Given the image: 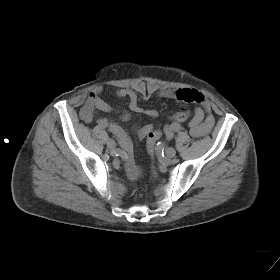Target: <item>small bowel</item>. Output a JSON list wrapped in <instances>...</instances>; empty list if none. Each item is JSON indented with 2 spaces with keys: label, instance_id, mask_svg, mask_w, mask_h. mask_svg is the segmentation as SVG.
<instances>
[{
  "label": "small bowel",
  "instance_id": "obj_1",
  "mask_svg": "<svg viewBox=\"0 0 280 280\" xmlns=\"http://www.w3.org/2000/svg\"><path fill=\"white\" fill-rule=\"evenodd\" d=\"M101 93V87H97L90 92L85 104L80 110V115L84 121H93L98 111L111 112L114 110L110 104L101 98ZM115 94L120 98H128L129 109L131 111L144 114L148 117L157 116L156 110L144 109L139 105L138 97L134 90L129 88H120L116 90ZM161 96L183 102L198 104L199 106L194 109L193 115L188 122L190 134L196 138H200L210 133L215 124V118L211 113L209 101L200 92L185 88L163 91L161 92ZM123 117L126 118L127 115H124ZM110 129L115 135H120L127 138L126 133L117 123H111ZM151 130H153L151 125L144 126L139 132L140 138H144ZM164 133L167 139L171 138L172 135L170 133V124L165 126ZM124 166L125 171L131 180H135L140 176L141 170L135 165L132 157H128L126 159Z\"/></svg>",
  "mask_w": 280,
  "mask_h": 280
}]
</instances>
